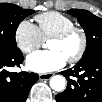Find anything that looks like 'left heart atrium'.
I'll list each match as a JSON object with an SVG mask.
<instances>
[{"label": "left heart atrium", "mask_w": 102, "mask_h": 102, "mask_svg": "<svg viewBox=\"0 0 102 102\" xmlns=\"http://www.w3.org/2000/svg\"><path fill=\"white\" fill-rule=\"evenodd\" d=\"M66 59L55 50L35 51L28 55V67L38 73H50L63 68Z\"/></svg>", "instance_id": "left-heart-atrium-1"}]
</instances>
